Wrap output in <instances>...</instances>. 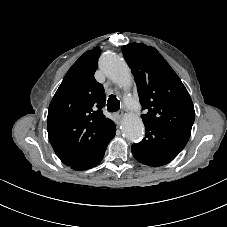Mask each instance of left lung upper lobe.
<instances>
[{
	"mask_svg": "<svg viewBox=\"0 0 227 227\" xmlns=\"http://www.w3.org/2000/svg\"><path fill=\"white\" fill-rule=\"evenodd\" d=\"M122 50L146 110V114L141 115L144 124L189 140L195 111L180 78L154 47L130 43Z\"/></svg>",
	"mask_w": 227,
	"mask_h": 227,
	"instance_id": "left-lung-upper-lobe-1",
	"label": "left lung upper lobe"
}]
</instances>
